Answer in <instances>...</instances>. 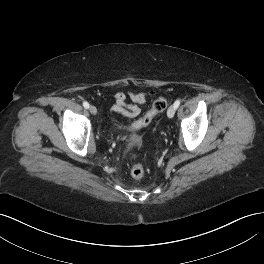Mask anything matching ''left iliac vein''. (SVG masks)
<instances>
[{
    "label": "left iliac vein",
    "instance_id": "1",
    "mask_svg": "<svg viewBox=\"0 0 264 264\" xmlns=\"http://www.w3.org/2000/svg\"><path fill=\"white\" fill-rule=\"evenodd\" d=\"M176 112V108L174 106H170L167 110V116L172 118Z\"/></svg>",
    "mask_w": 264,
    "mask_h": 264
}]
</instances>
